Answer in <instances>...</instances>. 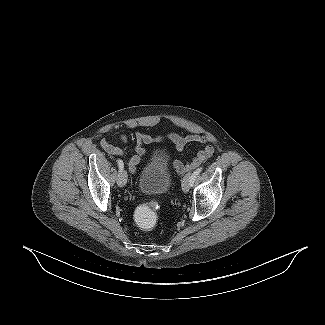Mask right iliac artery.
I'll return each mask as SVG.
<instances>
[{"label":"right iliac artery","mask_w":325,"mask_h":325,"mask_svg":"<svg viewBox=\"0 0 325 325\" xmlns=\"http://www.w3.org/2000/svg\"><path fill=\"white\" fill-rule=\"evenodd\" d=\"M118 161V166H119V169L122 170L124 165H123V162L119 159L117 160Z\"/></svg>","instance_id":"right-iliac-artery-1"}]
</instances>
